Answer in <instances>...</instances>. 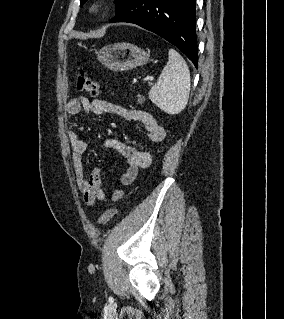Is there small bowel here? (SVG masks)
I'll return each mask as SVG.
<instances>
[{"instance_id":"c3829d8e","label":"small bowel","mask_w":284,"mask_h":319,"mask_svg":"<svg viewBox=\"0 0 284 319\" xmlns=\"http://www.w3.org/2000/svg\"><path fill=\"white\" fill-rule=\"evenodd\" d=\"M66 111L69 115H76L80 111L94 115L115 114L129 121L138 122L144 128L148 139L152 143H158L165 139L166 131L149 113L136 109H127L117 104L104 100H90L87 97L73 98L66 104ZM68 138L72 147V164L79 190L83 194V201L88 206H94L97 202L106 203L109 197L102 188L101 171L94 168L86 175L83 165V155L88 144L75 131L68 132ZM105 147L116 150L126 161V169L120 177L122 185L132 184L141 168L151 164L152 155L149 150L139 149L129 144L108 139ZM124 197V190L116 188L111 200L120 201Z\"/></svg>"}]
</instances>
